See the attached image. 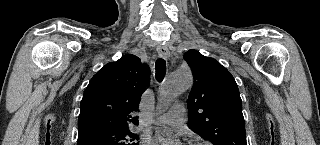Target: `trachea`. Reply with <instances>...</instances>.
<instances>
[{
	"mask_svg": "<svg viewBox=\"0 0 320 145\" xmlns=\"http://www.w3.org/2000/svg\"><path fill=\"white\" fill-rule=\"evenodd\" d=\"M156 74L155 77L158 82H161L166 73V61L162 58H159L155 63Z\"/></svg>",
	"mask_w": 320,
	"mask_h": 145,
	"instance_id": "3493384b",
	"label": "trachea"
}]
</instances>
